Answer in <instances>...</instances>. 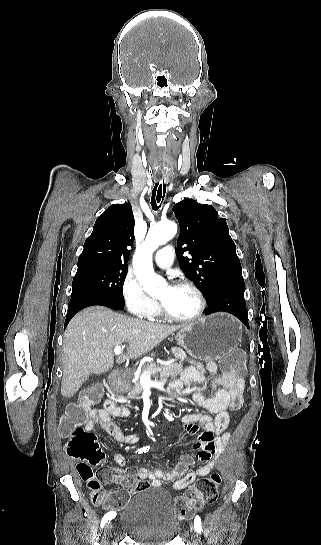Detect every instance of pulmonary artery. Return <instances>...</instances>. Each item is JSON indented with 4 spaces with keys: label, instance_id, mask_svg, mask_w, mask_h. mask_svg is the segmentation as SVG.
Returning a JSON list of instances; mask_svg holds the SVG:
<instances>
[{
    "label": "pulmonary artery",
    "instance_id": "e3ab8cb5",
    "mask_svg": "<svg viewBox=\"0 0 321 545\" xmlns=\"http://www.w3.org/2000/svg\"><path fill=\"white\" fill-rule=\"evenodd\" d=\"M154 259L158 266L167 268L173 264L174 252L172 250L160 248L156 251Z\"/></svg>",
    "mask_w": 321,
    "mask_h": 545
}]
</instances>
